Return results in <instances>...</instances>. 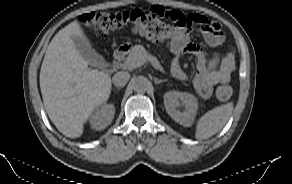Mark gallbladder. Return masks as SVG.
I'll list each match as a JSON object with an SVG mask.
<instances>
[{
  "label": "gallbladder",
  "instance_id": "gallbladder-1",
  "mask_svg": "<svg viewBox=\"0 0 292 184\" xmlns=\"http://www.w3.org/2000/svg\"><path fill=\"white\" fill-rule=\"evenodd\" d=\"M76 49L79 51L80 55L92 66L102 68L105 64L104 58L99 55L90 45V43L79 37L72 36Z\"/></svg>",
  "mask_w": 292,
  "mask_h": 184
}]
</instances>
